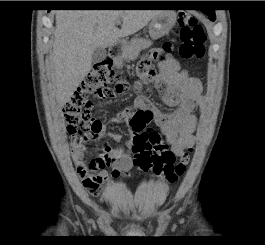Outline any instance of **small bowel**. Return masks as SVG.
<instances>
[{"mask_svg":"<svg viewBox=\"0 0 265 245\" xmlns=\"http://www.w3.org/2000/svg\"><path fill=\"white\" fill-rule=\"evenodd\" d=\"M157 55L158 53L153 51L141 62H148L150 65ZM153 87L161 92L163 103L174 109L171 113H162L146 97L139 96L134 102V109H126L110 121L128 124L134 110H142L167 135L171 151L176 156H180L184 151L192 148L195 143L196 117L194 112L202 102V83L182 69L175 58L169 57L159 65V72L153 82ZM99 134L106 135L117 143L123 141L119 133H106L105 125L100 128ZM125 146L129 150L132 142L125 141ZM76 147L78 150L74 159L77 164V174L84 189L93 195H97L100 186L111 178L116 179L130 172L132 156L129 151L111 149L89 157L92 149L90 146L77 142Z\"/></svg>","mask_w":265,"mask_h":245,"instance_id":"c3829d8e","label":"small bowel"}]
</instances>
